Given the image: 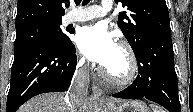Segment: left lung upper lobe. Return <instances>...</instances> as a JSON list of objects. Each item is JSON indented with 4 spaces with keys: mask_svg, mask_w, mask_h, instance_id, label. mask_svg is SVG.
Returning a JSON list of instances; mask_svg holds the SVG:
<instances>
[{
    "mask_svg": "<svg viewBox=\"0 0 193 112\" xmlns=\"http://www.w3.org/2000/svg\"><path fill=\"white\" fill-rule=\"evenodd\" d=\"M127 7L120 12L118 26L134 53L150 38L171 32L168 8L165 0H115Z\"/></svg>",
    "mask_w": 193,
    "mask_h": 112,
    "instance_id": "5c2ea615",
    "label": "left lung upper lobe"
}]
</instances>
